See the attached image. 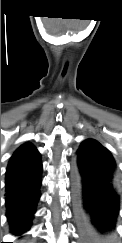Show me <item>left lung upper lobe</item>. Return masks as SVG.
I'll return each instance as SVG.
<instances>
[{
  "instance_id": "obj_1",
  "label": "left lung upper lobe",
  "mask_w": 122,
  "mask_h": 243,
  "mask_svg": "<svg viewBox=\"0 0 122 243\" xmlns=\"http://www.w3.org/2000/svg\"><path fill=\"white\" fill-rule=\"evenodd\" d=\"M103 148L99 142L93 139H87L82 142L80 148L78 149L77 161L86 156L90 151Z\"/></svg>"
}]
</instances>
